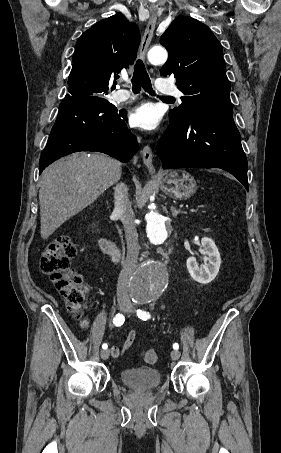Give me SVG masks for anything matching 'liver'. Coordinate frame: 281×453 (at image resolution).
Listing matches in <instances>:
<instances>
[{
  "label": "liver",
  "instance_id": "liver-1",
  "mask_svg": "<svg viewBox=\"0 0 281 453\" xmlns=\"http://www.w3.org/2000/svg\"><path fill=\"white\" fill-rule=\"evenodd\" d=\"M120 176V162L102 152H81L47 166L39 190L42 239H48L65 220L97 200Z\"/></svg>",
  "mask_w": 281,
  "mask_h": 453
}]
</instances>
